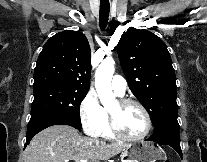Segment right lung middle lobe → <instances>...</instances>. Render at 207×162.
<instances>
[{
    "mask_svg": "<svg viewBox=\"0 0 207 162\" xmlns=\"http://www.w3.org/2000/svg\"><path fill=\"white\" fill-rule=\"evenodd\" d=\"M34 101L31 116L39 113H57L80 122V104L87 91H80L56 85L33 88Z\"/></svg>",
    "mask_w": 207,
    "mask_h": 162,
    "instance_id": "obj_1",
    "label": "right lung middle lobe"
}]
</instances>
